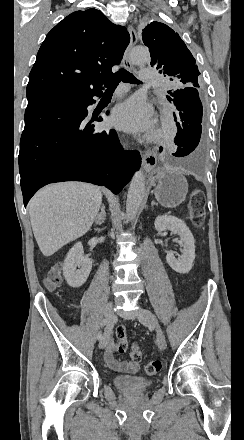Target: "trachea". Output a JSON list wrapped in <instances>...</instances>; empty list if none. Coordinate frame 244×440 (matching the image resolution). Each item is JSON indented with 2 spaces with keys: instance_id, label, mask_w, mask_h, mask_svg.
Listing matches in <instances>:
<instances>
[{
  "instance_id": "obj_1",
  "label": "trachea",
  "mask_w": 244,
  "mask_h": 440,
  "mask_svg": "<svg viewBox=\"0 0 244 440\" xmlns=\"http://www.w3.org/2000/svg\"><path fill=\"white\" fill-rule=\"evenodd\" d=\"M120 82L136 83L137 79L134 77L133 73H130L125 69H120L115 75L104 81V86L107 88L106 92L114 91Z\"/></svg>"
}]
</instances>
